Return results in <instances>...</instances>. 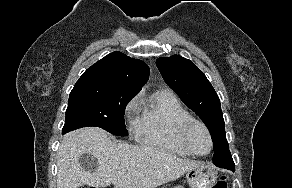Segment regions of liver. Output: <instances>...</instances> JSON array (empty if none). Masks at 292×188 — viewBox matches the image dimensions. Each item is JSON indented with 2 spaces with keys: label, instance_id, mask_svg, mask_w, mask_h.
<instances>
[{
  "label": "liver",
  "instance_id": "liver-1",
  "mask_svg": "<svg viewBox=\"0 0 292 188\" xmlns=\"http://www.w3.org/2000/svg\"><path fill=\"white\" fill-rule=\"evenodd\" d=\"M88 153L98 166L87 170L80 162ZM200 162L182 159L163 149L113 142L107 132L96 127L66 134L58 150L57 188L82 185L114 188H156L175 180ZM125 170L123 174L118 172Z\"/></svg>",
  "mask_w": 292,
  "mask_h": 188
}]
</instances>
